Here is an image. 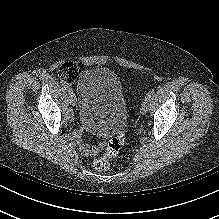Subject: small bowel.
I'll list each match as a JSON object with an SVG mask.
<instances>
[{"instance_id":"obj_1","label":"small bowel","mask_w":219,"mask_h":219,"mask_svg":"<svg viewBox=\"0 0 219 219\" xmlns=\"http://www.w3.org/2000/svg\"><path fill=\"white\" fill-rule=\"evenodd\" d=\"M81 136L78 135V138H80ZM104 147L103 143H99L97 145L94 146H88L86 144H84L82 141H80V148L81 151L86 155V156H95L97 155L100 150H102V148Z\"/></svg>"}]
</instances>
